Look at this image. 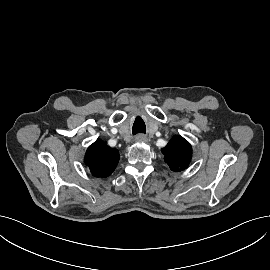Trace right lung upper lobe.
<instances>
[{"instance_id": "cb5924a9", "label": "right lung upper lobe", "mask_w": 270, "mask_h": 270, "mask_svg": "<svg viewBox=\"0 0 270 270\" xmlns=\"http://www.w3.org/2000/svg\"><path fill=\"white\" fill-rule=\"evenodd\" d=\"M120 155L117 149L110 148L102 140H96L89 146L84 162L96 177H107L116 168Z\"/></svg>"}]
</instances>
